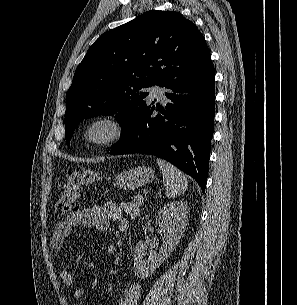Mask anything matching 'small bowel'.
Wrapping results in <instances>:
<instances>
[{
	"label": "small bowel",
	"instance_id": "1",
	"mask_svg": "<svg viewBox=\"0 0 297 305\" xmlns=\"http://www.w3.org/2000/svg\"><path fill=\"white\" fill-rule=\"evenodd\" d=\"M111 223H118L121 228L126 227L119 207L112 202H106L102 205L90 206L69 214L55 226L52 232V247L65 261V267L60 272L61 280L66 286L72 289V294L77 299L84 296L85 290L83 287L75 285L72 275V265L65 251V240L75 226H89L95 228L97 231L104 232L108 230ZM105 250L108 254H113L116 248L113 244H107ZM140 293V284L136 280H132L124 289L118 305H136Z\"/></svg>",
	"mask_w": 297,
	"mask_h": 305
}]
</instances>
